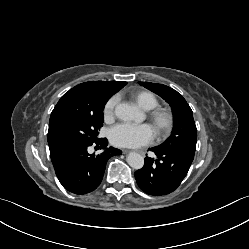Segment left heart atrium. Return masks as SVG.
Instances as JSON below:
<instances>
[{
	"label": "left heart atrium",
	"mask_w": 249,
	"mask_h": 249,
	"mask_svg": "<svg viewBox=\"0 0 249 249\" xmlns=\"http://www.w3.org/2000/svg\"><path fill=\"white\" fill-rule=\"evenodd\" d=\"M153 138L154 130L148 124L121 123L109 132L111 143L119 147L137 148L149 144Z\"/></svg>",
	"instance_id": "39dd6f15"
}]
</instances>
